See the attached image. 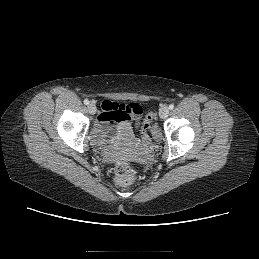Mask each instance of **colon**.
Returning a JSON list of instances; mask_svg holds the SVG:
<instances>
[{"instance_id": "colon-1", "label": "colon", "mask_w": 259, "mask_h": 259, "mask_svg": "<svg viewBox=\"0 0 259 259\" xmlns=\"http://www.w3.org/2000/svg\"><path fill=\"white\" fill-rule=\"evenodd\" d=\"M153 120L154 114L149 112L144 117L141 126L142 140L148 145L151 143L149 132L152 127ZM114 172L116 175L115 181L120 186L131 184L137 176L135 169L125 161H118L114 166Z\"/></svg>"}]
</instances>
